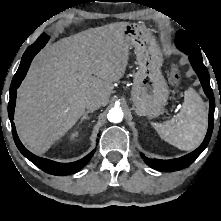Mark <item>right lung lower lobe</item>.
Listing matches in <instances>:
<instances>
[{
	"instance_id": "right-lung-lower-lobe-1",
	"label": "right lung lower lobe",
	"mask_w": 221,
	"mask_h": 221,
	"mask_svg": "<svg viewBox=\"0 0 221 221\" xmlns=\"http://www.w3.org/2000/svg\"><path fill=\"white\" fill-rule=\"evenodd\" d=\"M47 40H48V36L45 34H42V36L39 37L34 44L29 46L27 48V50L25 51V53L23 54L20 66H19L16 74L14 75L12 82H11V86H10V101L8 104V115H9V119H10L11 125H12V133H13V138H14L15 144H16L17 148L19 149V151L26 158H28L38 168H40L41 170H43L49 174L69 175V174L75 173L78 170H80L81 168H83L90 161L95 150L90 152L84 158H82L76 162H72V163H58V162H54V161H51V160H48L45 158L35 156L31 152H29L23 146V144L20 142V140L17 136V133H16L14 122H13L14 108H15V104H16V94H17L16 90L20 86L21 81L24 79L33 57L46 44Z\"/></svg>"
}]
</instances>
